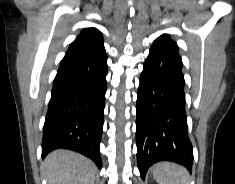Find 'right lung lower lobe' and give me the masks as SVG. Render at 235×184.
I'll return each instance as SVG.
<instances>
[{"label":"right lung lower lobe","mask_w":235,"mask_h":184,"mask_svg":"<svg viewBox=\"0 0 235 184\" xmlns=\"http://www.w3.org/2000/svg\"><path fill=\"white\" fill-rule=\"evenodd\" d=\"M107 72L106 54L62 59L43 127L42 158L55 149H70L101 168Z\"/></svg>","instance_id":"98d812e1"}]
</instances>
